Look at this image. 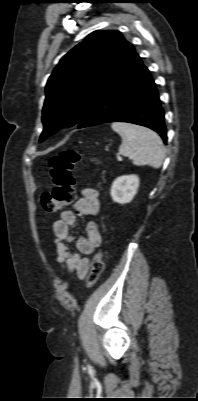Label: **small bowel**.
<instances>
[{
  "label": "small bowel",
  "mask_w": 198,
  "mask_h": 401,
  "mask_svg": "<svg viewBox=\"0 0 198 401\" xmlns=\"http://www.w3.org/2000/svg\"><path fill=\"white\" fill-rule=\"evenodd\" d=\"M82 196L74 204V210H65L53 223V232L57 250V261L67 270L75 271L80 278H85L89 270L87 255L93 253L102 243L98 225L89 222L86 226V236L77 239L71 230L77 226V217L95 216L100 209L99 194L96 190L85 188ZM74 245V249H69Z\"/></svg>",
  "instance_id": "c3829d8e"
}]
</instances>
